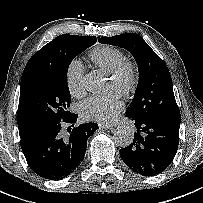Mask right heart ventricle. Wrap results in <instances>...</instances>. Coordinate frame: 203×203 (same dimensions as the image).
I'll list each match as a JSON object with an SVG mask.
<instances>
[{
  "label": "right heart ventricle",
  "mask_w": 203,
  "mask_h": 203,
  "mask_svg": "<svg viewBox=\"0 0 203 203\" xmlns=\"http://www.w3.org/2000/svg\"><path fill=\"white\" fill-rule=\"evenodd\" d=\"M90 60L99 68L110 72L119 62L126 59L124 53L115 47L98 46L89 53Z\"/></svg>",
  "instance_id": "1"
}]
</instances>
